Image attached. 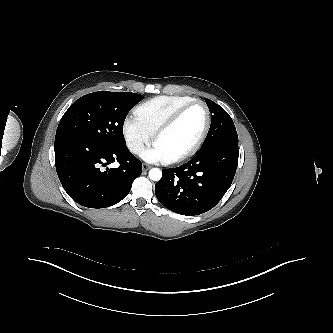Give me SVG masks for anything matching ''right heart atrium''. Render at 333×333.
<instances>
[{
    "label": "right heart atrium",
    "instance_id": "right-heart-atrium-1",
    "mask_svg": "<svg viewBox=\"0 0 333 333\" xmlns=\"http://www.w3.org/2000/svg\"><path fill=\"white\" fill-rule=\"evenodd\" d=\"M122 131L126 145L133 154H140L152 139V133L135 116L125 118Z\"/></svg>",
    "mask_w": 333,
    "mask_h": 333
}]
</instances>
